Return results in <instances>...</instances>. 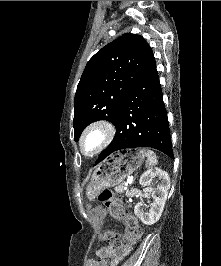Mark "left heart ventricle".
I'll use <instances>...</instances> for the list:
<instances>
[{
	"mask_svg": "<svg viewBox=\"0 0 221 266\" xmlns=\"http://www.w3.org/2000/svg\"><path fill=\"white\" fill-rule=\"evenodd\" d=\"M98 140V136L97 135H93L92 137H90L88 139V141L86 142V147L88 150H91L95 147L96 143Z\"/></svg>",
	"mask_w": 221,
	"mask_h": 266,
	"instance_id": "1",
	"label": "left heart ventricle"
}]
</instances>
